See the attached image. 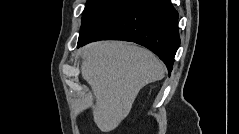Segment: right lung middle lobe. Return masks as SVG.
Segmentation results:
<instances>
[{"label":"right lung middle lobe","mask_w":239,"mask_h":134,"mask_svg":"<svg viewBox=\"0 0 239 134\" xmlns=\"http://www.w3.org/2000/svg\"><path fill=\"white\" fill-rule=\"evenodd\" d=\"M124 0H88L82 17L79 38L86 37L92 29Z\"/></svg>","instance_id":"dd1d6c3e"}]
</instances>
